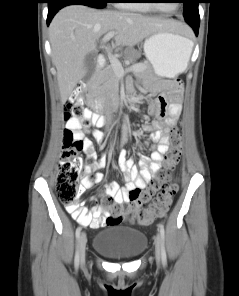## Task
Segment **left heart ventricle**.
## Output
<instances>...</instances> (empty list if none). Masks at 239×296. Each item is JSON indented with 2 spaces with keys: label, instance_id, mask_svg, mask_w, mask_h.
<instances>
[{
  "label": "left heart ventricle",
  "instance_id": "b2bd125f",
  "mask_svg": "<svg viewBox=\"0 0 239 296\" xmlns=\"http://www.w3.org/2000/svg\"><path fill=\"white\" fill-rule=\"evenodd\" d=\"M157 5L165 11H172L176 7V3H171V2L162 1V0H157Z\"/></svg>",
  "mask_w": 239,
  "mask_h": 296
}]
</instances>
